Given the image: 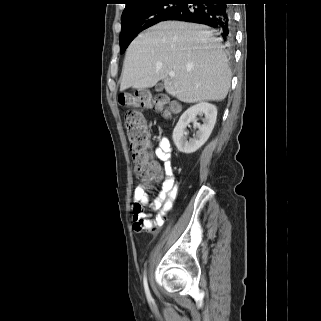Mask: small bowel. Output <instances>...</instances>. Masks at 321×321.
<instances>
[{
    "label": "small bowel",
    "instance_id": "small-bowel-1",
    "mask_svg": "<svg viewBox=\"0 0 321 321\" xmlns=\"http://www.w3.org/2000/svg\"><path fill=\"white\" fill-rule=\"evenodd\" d=\"M151 158L152 153L149 151ZM155 157L163 162L161 167L156 161L159 168V174L156 180H162L161 189L158 195L150 203L152 210L162 209L153 220L148 219V216L143 212V206L148 204L149 198L147 194V185L140 183L135 189L133 194V229L137 232H151L157 234L159 229L165 223V213L169 211L173 202L177 197L178 189L176 185L174 170L171 164L172 148L170 141L166 137H161L158 147L154 152ZM136 206H140L141 210L136 211Z\"/></svg>",
    "mask_w": 321,
    "mask_h": 321
}]
</instances>
